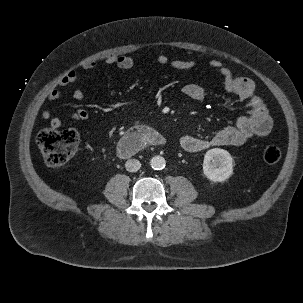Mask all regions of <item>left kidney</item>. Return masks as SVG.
<instances>
[{
  "mask_svg": "<svg viewBox=\"0 0 303 303\" xmlns=\"http://www.w3.org/2000/svg\"><path fill=\"white\" fill-rule=\"evenodd\" d=\"M233 166L232 156L224 149H210L204 156L203 172L210 181H225L233 174Z\"/></svg>",
  "mask_w": 303,
  "mask_h": 303,
  "instance_id": "5707ae66",
  "label": "left kidney"
}]
</instances>
